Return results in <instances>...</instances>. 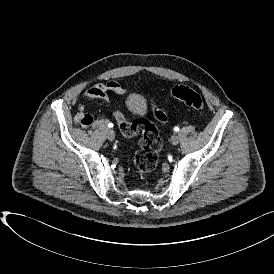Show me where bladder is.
I'll use <instances>...</instances> for the list:
<instances>
[{
	"label": "bladder",
	"mask_w": 274,
	"mask_h": 274,
	"mask_svg": "<svg viewBox=\"0 0 274 274\" xmlns=\"http://www.w3.org/2000/svg\"><path fill=\"white\" fill-rule=\"evenodd\" d=\"M126 105L128 110L134 115L141 114L145 109L144 99L137 95L130 96L127 99Z\"/></svg>",
	"instance_id": "31cf9c89"
}]
</instances>
